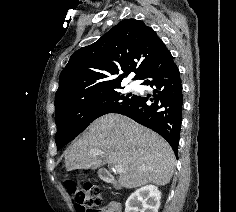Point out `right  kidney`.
<instances>
[{
    "instance_id": "ca27d5eb",
    "label": "right kidney",
    "mask_w": 236,
    "mask_h": 212,
    "mask_svg": "<svg viewBox=\"0 0 236 212\" xmlns=\"http://www.w3.org/2000/svg\"><path fill=\"white\" fill-rule=\"evenodd\" d=\"M161 192L154 185H146L132 193L125 203V212H158ZM142 206V209H139Z\"/></svg>"
}]
</instances>
